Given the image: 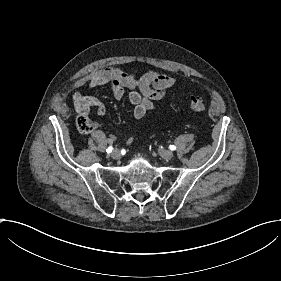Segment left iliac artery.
Returning a JSON list of instances; mask_svg holds the SVG:
<instances>
[{
	"label": "left iliac artery",
	"instance_id": "44dca946",
	"mask_svg": "<svg viewBox=\"0 0 281 281\" xmlns=\"http://www.w3.org/2000/svg\"><path fill=\"white\" fill-rule=\"evenodd\" d=\"M169 148H170V150H176V146H174V145H170Z\"/></svg>",
	"mask_w": 281,
	"mask_h": 281
}]
</instances>
